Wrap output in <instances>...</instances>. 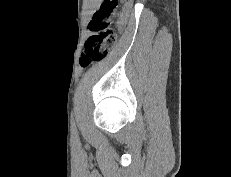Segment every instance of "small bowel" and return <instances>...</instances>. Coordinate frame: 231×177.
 <instances>
[{"mask_svg":"<svg viewBox=\"0 0 231 177\" xmlns=\"http://www.w3.org/2000/svg\"><path fill=\"white\" fill-rule=\"evenodd\" d=\"M124 25V18H121L119 21V26L122 27Z\"/></svg>","mask_w":231,"mask_h":177,"instance_id":"obj_1","label":"small bowel"}]
</instances>
